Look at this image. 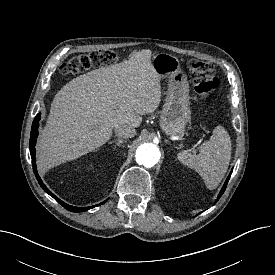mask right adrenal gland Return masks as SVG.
Here are the masks:
<instances>
[{"label":"right adrenal gland","instance_id":"obj_1","mask_svg":"<svg viewBox=\"0 0 275 275\" xmlns=\"http://www.w3.org/2000/svg\"><path fill=\"white\" fill-rule=\"evenodd\" d=\"M113 143H115L116 146L120 147V146H122L123 143H126V141L123 139L117 138L115 140L110 141L108 144H113Z\"/></svg>","mask_w":275,"mask_h":275}]
</instances>
